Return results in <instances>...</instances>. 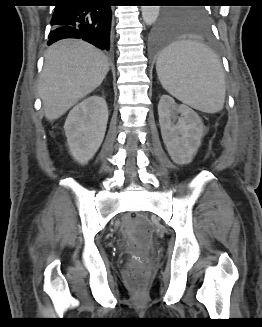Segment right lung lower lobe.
Here are the masks:
<instances>
[{"instance_id":"obj_1","label":"right lung lower lobe","mask_w":262,"mask_h":327,"mask_svg":"<svg viewBox=\"0 0 262 327\" xmlns=\"http://www.w3.org/2000/svg\"><path fill=\"white\" fill-rule=\"evenodd\" d=\"M51 20L48 45L64 38L83 39L108 51L111 35V6L105 0H60Z\"/></svg>"}]
</instances>
